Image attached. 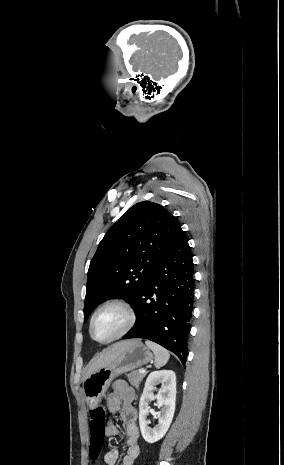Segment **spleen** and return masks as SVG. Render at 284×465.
<instances>
[{
	"instance_id": "obj_1",
	"label": "spleen",
	"mask_w": 284,
	"mask_h": 465,
	"mask_svg": "<svg viewBox=\"0 0 284 465\" xmlns=\"http://www.w3.org/2000/svg\"><path fill=\"white\" fill-rule=\"evenodd\" d=\"M147 347L153 351L155 355V367L156 369H160V367H164L167 361L170 359L169 351L160 347V345H156V343H152V341H145Z\"/></svg>"
}]
</instances>
